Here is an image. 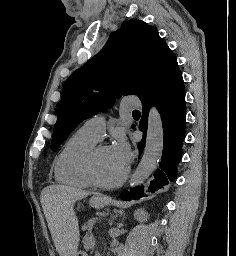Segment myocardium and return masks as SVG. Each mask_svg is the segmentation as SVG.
I'll return each instance as SVG.
<instances>
[{"label": "myocardium", "mask_w": 236, "mask_h": 256, "mask_svg": "<svg viewBox=\"0 0 236 256\" xmlns=\"http://www.w3.org/2000/svg\"><path fill=\"white\" fill-rule=\"evenodd\" d=\"M100 148H104V146H99L93 149L89 156V171H90V177L93 185L101 189H114V188L120 187L121 185H123V183L126 181L128 177V174H129L128 167H125L123 172L113 180L103 179L98 171L96 159H95L96 152Z\"/></svg>", "instance_id": "obj_1"}]
</instances>
